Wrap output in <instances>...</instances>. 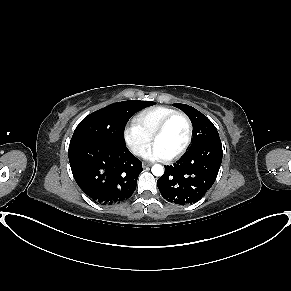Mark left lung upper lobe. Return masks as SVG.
<instances>
[{"instance_id": "1", "label": "left lung upper lobe", "mask_w": 291, "mask_h": 291, "mask_svg": "<svg viewBox=\"0 0 291 291\" xmlns=\"http://www.w3.org/2000/svg\"><path fill=\"white\" fill-rule=\"evenodd\" d=\"M181 109L190 118L193 125V142L190 148L205 143L209 140L219 138L214 124L201 112L186 104H173Z\"/></svg>"}]
</instances>
